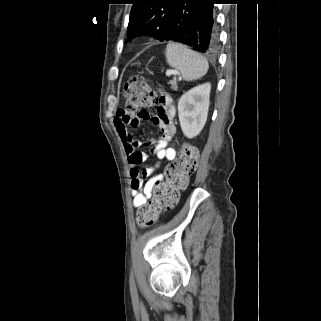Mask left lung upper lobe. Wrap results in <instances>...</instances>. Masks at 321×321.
I'll return each mask as SVG.
<instances>
[{
  "mask_svg": "<svg viewBox=\"0 0 321 321\" xmlns=\"http://www.w3.org/2000/svg\"><path fill=\"white\" fill-rule=\"evenodd\" d=\"M178 0H132L127 40L141 34L163 41L166 25Z\"/></svg>",
  "mask_w": 321,
  "mask_h": 321,
  "instance_id": "1",
  "label": "left lung upper lobe"
}]
</instances>
